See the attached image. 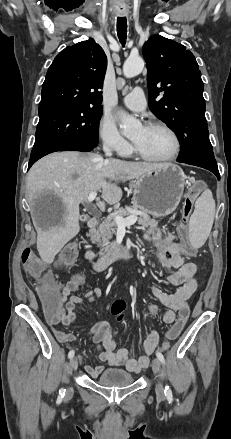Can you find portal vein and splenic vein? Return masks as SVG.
<instances>
[{
    "mask_svg": "<svg viewBox=\"0 0 231 439\" xmlns=\"http://www.w3.org/2000/svg\"><path fill=\"white\" fill-rule=\"evenodd\" d=\"M96 196H97V192L96 191L91 192L89 194V196L87 197L88 202L89 203L93 202L94 199L96 198ZM137 219L138 218L135 215L128 216L127 218H123L121 216H116L115 217V222H116L118 227H125V226H130V225L135 224Z\"/></svg>",
    "mask_w": 231,
    "mask_h": 439,
    "instance_id": "1",
    "label": "portal vein and splenic vein"
}]
</instances>
